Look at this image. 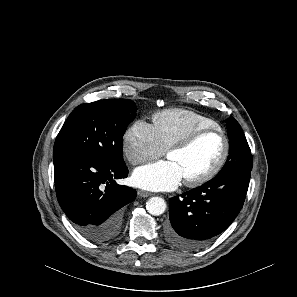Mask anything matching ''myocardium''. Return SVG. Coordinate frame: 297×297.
<instances>
[{
    "instance_id": "myocardium-1",
    "label": "myocardium",
    "mask_w": 297,
    "mask_h": 297,
    "mask_svg": "<svg viewBox=\"0 0 297 297\" xmlns=\"http://www.w3.org/2000/svg\"><path fill=\"white\" fill-rule=\"evenodd\" d=\"M217 134L223 141V152L217 163L206 173H204L201 176L185 179V184L190 187L199 186L202 184H205L212 180L223 168L225 165L229 153H230V142L225 134V132L220 129L219 127H204V128H198L196 130L191 131L184 137L180 138L176 142H174L168 149L166 154L173 151H179L189 148L194 142H196L200 137L207 135V134Z\"/></svg>"
}]
</instances>
